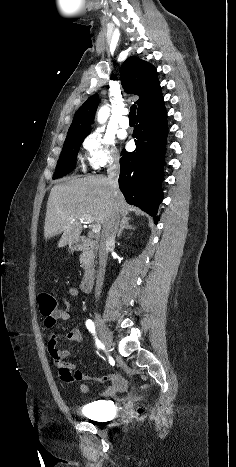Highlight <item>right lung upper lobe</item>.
<instances>
[{
    "label": "right lung upper lobe",
    "mask_w": 236,
    "mask_h": 467,
    "mask_svg": "<svg viewBox=\"0 0 236 467\" xmlns=\"http://www.w3.org/2000/svg\"><path fill=\"white\" fill-rule=\"evenodd\" d=\"M156 69L150 63L138 57H129L121 68V83L127 93L139 96L137 114L155 104L161 96V88ZM98 95L91 96L77 110L68 134L86 133L91 130L95 111L98 106Z\"/></svg>",
    "instance_id": "obj_1"
}]
</instances>
